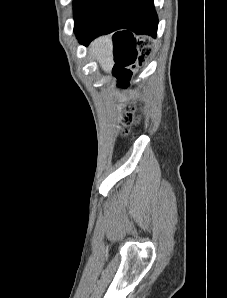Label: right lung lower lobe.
<instances>
[{
	"instance_id": "98d812e1",
	"label": "right lung lower lobe",
	"mask_w": 227,
	"mask_h": 298,
	"mask_svg": "<svg viewBox=\"0 0 227 298\" xmlns=\"http://www.w3.org/2000/svg\"><path fill=\"white\" fill-rule=\"evenodd\" d=\"M157 26L153 0H111L76 36L79 43L87 46L94 38L115 31L114 60L120 66H127L133 36L147 34L156 37ZM125 73L122 67L113 69L118 79Z\"/></svg>"
}]
</instances>
